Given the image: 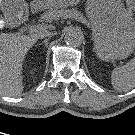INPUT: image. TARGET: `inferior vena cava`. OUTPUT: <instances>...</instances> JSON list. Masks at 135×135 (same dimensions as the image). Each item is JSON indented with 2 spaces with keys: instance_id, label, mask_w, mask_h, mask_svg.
Instances as JSON below:
<instances>
[{
  "instance_id": "1",
  "label": "inferior vena cava",
  "mask_w": 135,
  "mask_h": 135,
  "mask_svg": "<svg viewBox=\"0 0 135 135\" xmlns=\"http://www.w3.org/2000/svg\"><path fill=\"white\" fill-rule=\"evenodd\" d=\"M54 35H56L55 32L42 31V32H40L39 37L44 38V37H51V36H54Z\"/></svg>"
}]
</instances>
